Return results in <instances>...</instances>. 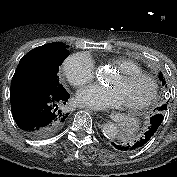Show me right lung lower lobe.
<instances>
[{"label": "right lung lower lobe", "mask_w": 177, "mask_h": 177, "mask_svg": "<svg viewBox=\"0 0 177 177\" xmlns=\"http://www.w3.org/2000/svg\"><path fill=\"white\" fill-rule=\"evenodd\" d=\"M69 93L53 92L32 86L10 88L13 118L22 132L33 139H44L58 133L67 121L64 105Z\"/></svg>", "instance_id": "right-lung-lower-lobe-1"}]
</instances>
